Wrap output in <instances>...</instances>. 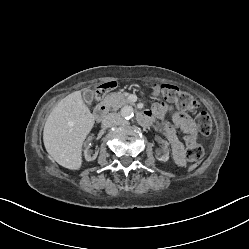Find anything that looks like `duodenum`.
I'll list each match as a JSON object with an SVG mask.
<instances>
[{"label":"duodenum","instance_id":"duodenum-1","mask_svg":"<svg viewBox=\"0 0 249 249\" xmlns=\"http://www.w3.org/2000/svg\"><path fill=\"white\" fill-rule=\"evenodd\" d=\"M107 111H108V106H107L106 102L103 101V102L99 103L97 105V107L95 108L94 117L96 118V120L100 121L104 118ZM137 121L142 126H148L151 123L150 119L146 116L145 113H139L137 115Z\"/></svg>","mask_w":249,"mask_h":249}]
</instances>
